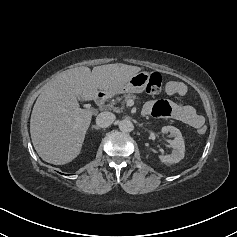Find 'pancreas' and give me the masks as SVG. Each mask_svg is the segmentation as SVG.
Returning <instances> with one entry per match:
<instances>
[{"instance_id": "1", "label": "pancreas", "mask_w": 237, "mask_h": 237, "mask_svg": "<svg viewBox=\"0 0 237 237\" xmlns=\"http://www.w3.org/2000/svg\"><path fill=\"white\" fill-rule=\"evenodd\" d=\"M130 99H136V96L135 95H133V94H127V95H125L124 96V99L122 100L121 98H117V100H115V101H113L112 103H111V105H110V107L111 108H113L114 107V104L115 103H121L122 104V106L128 101V100H130ZM122 108V107H121ZM117 110H119V109H117Z\"/></svg>"}]
</instances>
